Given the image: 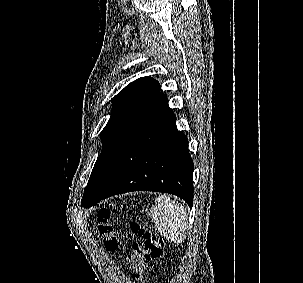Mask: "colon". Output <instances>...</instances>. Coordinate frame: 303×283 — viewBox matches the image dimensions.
I'll return each instance as SVG.
<instances>
[{
  "mask_svg": "<svg viewBox=\"0 0 303 283\" xmlns=\"http://www.w3.org/2000/svg\"><path fill=\"white\" fill-rule=\"evenodd\" d=\"M112 214L110 208H101L97 213L96 221L97 230L104 238L105 246L110 250H115L119 246V233L112 223ZM130 228L139 239L133 243L128 261L134 279L142 281L146 275L147 263L162 254L164 242L147 224L132 221Z\"/></svg>",
  "mask_w": 303,
  "mask_h": 283,
  "instance_id": "colon-1",
  "label": "colon"
}]
</instances>
